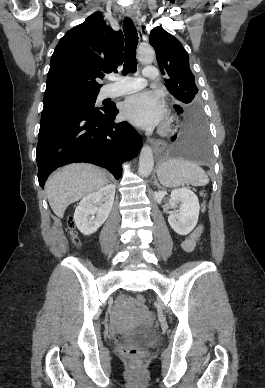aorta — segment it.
Here are the masks:
<instances>
[{"label":"aorta","instance_id":"762f6f07","mask_svg":"<svg viewBox=\"0 0 265 388\" xmlns=\"http://www.w3.org/2000/svg\"><path fill=\"white\" fill-rule=\"evenodd\" d=\"M155 53L151 48H145L139 52V60L143 63H151L154 60ZM154 166V158L152 149L148 145H144L139 156L138 172L141 177H148Z\"/></svg>","mask_w":265,"mask_h":388}]
</instances>
